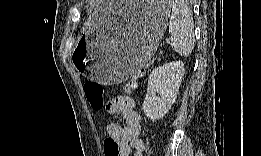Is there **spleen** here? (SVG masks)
Listing matches in <instances>:
<instances>
[{"label": "spleen", "instance_id": "1", "mask_svg": "<svg viewBox=\"0 0 261 156\" xmlns=\"http://www.w3.org/2000/svg\"><path fill=\"white\" fill-rule=\"evenodd\" d=\"M171 46L179 55L188 56L195 43L194 23L190 8L184 1L168 2Z\"/></svg>", "mask_w": 261, "mask_h": 156}]
</instances>
